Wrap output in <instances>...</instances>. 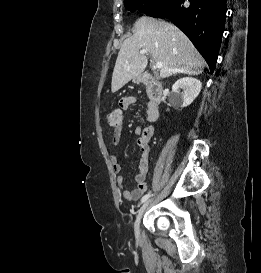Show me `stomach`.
<instances>
[{
    "label": "stomach",
    "instance_id": "stomach-1",
    "mask_svg": "<svg viewBox=\"0 0 261 273\" xmlns=\"http://www.w3.org/2000/svg\"><path fill=\"white\" fill-rule=\"evenodd\" d=\"M136 82H140L141 81V78L140 77H137L134 79Z\"/></svg>",
    "mask_w": 261,
    "mask_h": 273
}]
</instances>
